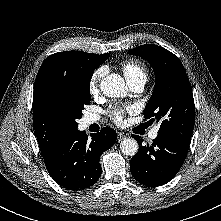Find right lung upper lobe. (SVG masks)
<instances>
[{
  "mask_svg": "<svg viewBox=\"0 0 221 221\" xmlns=\"http://www.w3.org/2000/svg\"><path fill=\"white\" fill-rule=\"evenodd\" d=\"M109 53L98 55L81 51L58 52L48 56L42 63L33 93V125L42 156L48 155L68 135L77 130L65 117L55 113L43 94L45 82L52 75L76 66L99 67Z\"/></svg>",
  "mask_w": 221,
  "mask_h": 221,
  "instance_id": "obj_1",
  "label": "right lung upper lobe"
}]
</instances>
